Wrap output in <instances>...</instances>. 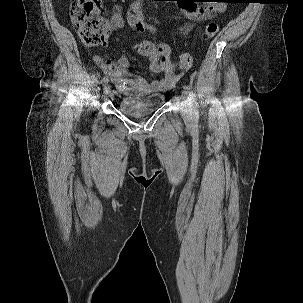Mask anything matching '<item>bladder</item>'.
<instances>
[{
    "label": "bladder",
    "instance_id": "31cf9c89",
    "mask_svg": "<svg viewBox=\"0 0 303 303\" xmlns=\"http://www.w3.org/2000/svg\"><path fill=\"white\" fill-rule=\"evenodd\" d=\"M165 95L161 93H126L119 99L120 110L132 118H143L160 108Z\"/></svg>",
    "mask_w": 303,
    "mask_h": 303
}]
</instances>
